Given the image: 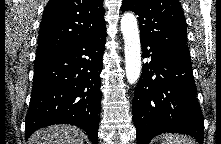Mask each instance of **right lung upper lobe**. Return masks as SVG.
I'll return each mask as SVG.
<instances>
[{"mask_svg":"<svg viewBox=\"0 0 221 144\" xmlns=\"http://www.w3.org/2000/svg\"><path fill=\"white\" fill-rule=\"evenodd\" d=\"M103 0H49L36 56H51L106 29Z\"/></svg>","mask_w":221,"mask_h":144,"instance_id":"right-lung-upper-lobe-1","label":"right lung upper lobe"}]
</instances>
